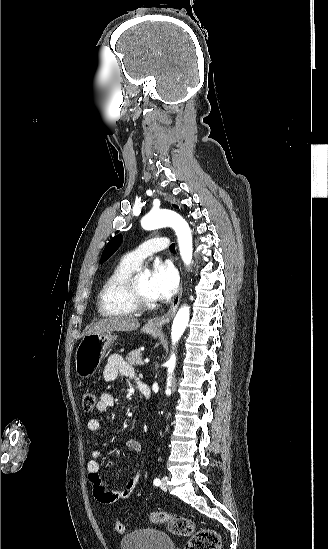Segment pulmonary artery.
I'll use <instances>...</instances> for the list:
<instances>
[{"label": "pulmonary artery", "instance_id": "1", "mask_svg": "<svg viewBox=\"0 0 328 549\" xmlns=\"http://www.w3.org/2000/svg\"><path fill=\"white\" fill-rule=\"evenodd\" d=\"M172 241L169 238L164 240L163 237H151L150 241H143L141 246H135L134 250L128 254L129 258L136 262H142L147 254L152 256L155 252H162L166 247H169Z\"/></svg>", "mask_w": 328, "mask_h": 549}]
</instances>
